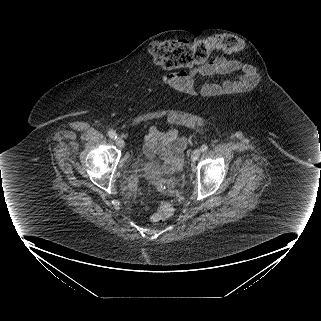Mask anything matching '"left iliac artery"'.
<instances>
[{
	"mask_svg": "<svg viewBox=\"0 0 321 321\" xmlns=\"http://www.w3.org/2000/svg\"><path fill=\"white\" fill-rule=\"evenodd\" d=\"M200 150H201V152L207 151L208 150V145L207 144L202 145Z\"/></svg>",
	"mask_w": 321,
	"mask_h": 321,
	"instance_id": "44dca946",
	"label": "left iliac artery"
}]
</instances>
